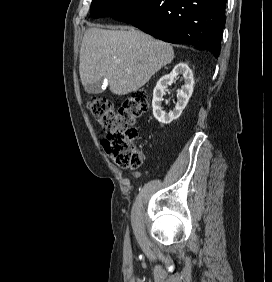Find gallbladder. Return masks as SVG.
Wrapping results in <instances>:
<instances>
[{
  "mask_svg": "<svg viewBox=\"0 0 272 282\" xmlns=\"http://www.w3.org/2000/svg\"><path fill=\"white\" fill-rule=\"evenodd\" d=\"M103 86L101 81L96 82L94 84H88L85 86V91L90 93V94H100L103 92Z\"/></svg>",
  "mask_w": 272,
  "mask_h": 282,
  "instance_id": "obj_1",
  "label": "gallbladder"
}]
</instances>
